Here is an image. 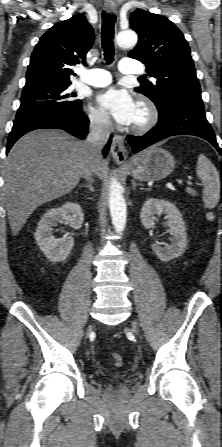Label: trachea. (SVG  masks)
<instances>
[{
    "instance_id": "obj_1",
    "label": "trachea",
    "mask_w": 222,
    "mask_h": 447,
    "mask_svg": "<svg viewBox=\"0 0 222 447\" xmlns=\"http://www.w3.org/2000/svg\"><path fill=\"white\" fill-rule=\"evenodd\" d=\"M116 17L113 14L102 13V31L101 42L104 51V56L107 64H111L114 59L115 49L113 44L114 38V24ZM144 79V78H139Z\"/></svg>"
}]
</instances>
